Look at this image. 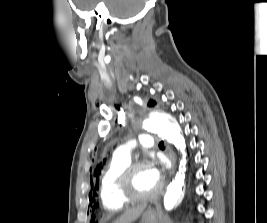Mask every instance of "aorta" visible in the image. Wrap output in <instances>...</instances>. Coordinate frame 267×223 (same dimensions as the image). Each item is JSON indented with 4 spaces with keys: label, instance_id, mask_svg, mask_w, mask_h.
<instances>
[{
    "label": "aorta",
    "instance_id": "obj_1",
    "mask_svg": "<svg viewBox=\"0 0 267 223\" xmlns=\"http://www.w3.org/2000/svg\"><path fill=\"white\" fill-rule=\"evenodd\" d=\"M143 128L157 133L170 144H173L182 153L179 170L172 182L167 186L163 200L164 208L169 211L178 206L183 198L186 171L185 139L181 133L178 122L169 115H152L144 121Z\"/></svg>",
    "mask_w": 267,
    "mask_h": 223
}]
</instances>
